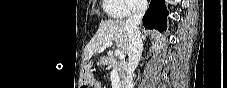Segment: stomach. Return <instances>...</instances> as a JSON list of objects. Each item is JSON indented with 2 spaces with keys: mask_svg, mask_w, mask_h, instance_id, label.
<instances>
[{
  "mask_svg": "<svg viewBox=\"0 0 227 88\" xmlns=\"http://www.w3.org/2000/svg\"><path fill=\"white\" fill-rule=\"evenodd\" d=\"M102 63H104V60L102 59V61H101Z\"/></svg>",
  "mask_w": 227,
  "mask_h": 88,
  "instance_id": "1",
  "label": "stomach"
}]
</instances>
